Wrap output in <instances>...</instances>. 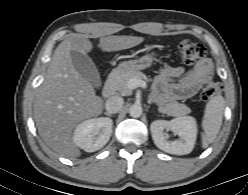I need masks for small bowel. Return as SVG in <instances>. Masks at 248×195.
Instances as JSON below:
<instances>
[{
	"label": "small bowel",
	"mask_w": 248,
	"mask_h": 195,
	"mask_svg": "<svg viewBox=\"0 0 248 195\" xmlns=\"http://www.w3.org/2000/svg\"><path fill=\"white\" fill-rule=\"evenodd\" d=\"M212 74L213 65L209 59L200 60L189 72L181 66L162 68L154 83L153 99L158 104H166L190 98Z\"/></svg>",
	"instance_id": "c3829d8e"
}]
</instances>
